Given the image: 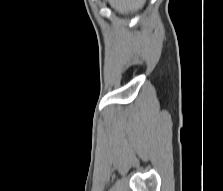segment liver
Wrapping results in <instances>:
<instances>
[{
	"label": "liver",
	"mask_w": 223,
	"mask_h": 191,
	"mask_svg": "<svg viewBox=\"0 0 223 191\" xmlns=\"http://www.w3.org/2000/svg\"><path fill=\"white\" fill-rule=\"evenodd\" d=\"M109 4L119 13L135 12L145 4L144 0H109Z\"/></svg>",
	"instance_id": "liver-1"
}]
</instances>
